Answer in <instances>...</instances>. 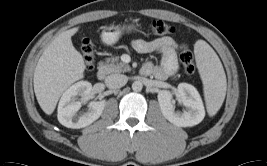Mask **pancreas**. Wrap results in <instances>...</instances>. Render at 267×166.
Instances as JSON below:
<instances>
[{"label": "pancreas", "instance_id": "pancreas-1", "mask_svg": "<svg viewBox=\"0 0 267 166\" xmlns=\"http://www.w3.org/2000/svg\"><path fill=\"white\" fill-rule=\"evenodd\" d=\"M102 68L107 74L129 72L131 70L130 66L121 62L118 56L107 58Z\"/></svg>", "mask_w": 267, "mask_h": 166}]
</instances>
